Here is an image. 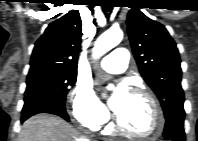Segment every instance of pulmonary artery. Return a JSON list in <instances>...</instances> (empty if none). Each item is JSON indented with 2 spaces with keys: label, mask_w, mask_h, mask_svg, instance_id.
I'll list each match as a JSON object with an SVG mask.
<instances>
[{
  "label": "pulmonary artery",
  "mask_w": 198,
  "mask_h": 141,
  "mask_svg": "<svg viewBox=\"0 0 198 141\" xmlns=\"http://www.w3.org/2000/svg\"><path fill=\"white\" fill-rule=\"evenodd\" d=\"M129 62V52L124 47H117L113 49L101 61V67L110 73L123 72Z\"/></svg>",
  "instance_id": "1"
}]
</instances>
